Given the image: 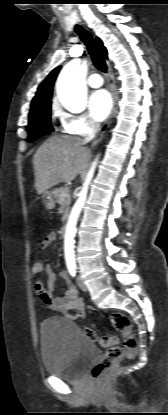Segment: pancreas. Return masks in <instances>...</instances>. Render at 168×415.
<instances>
[{
  "mask_svg": "<svg viewBox=\"0 0 168 415\" xmlns=\"http://www.w3.org/2000/svg\"><path fill=\"white\" fill-rule=\"evenodd\" d=\"M65 192L66 193L68 192V190L66 188H58V189H55L53 191V196H54L56 202L59 205L64 207V214H63L62 219H61L62 221H65L67 219L68 212H69V205H70V202H71V196L70 195H67L66 197L61 196V194L65 193Z\"/></svg>",
  "mask_w": 168,
  "mask_h": 415,
  "instance_id": "1",
  "label": "pancreas"
}]
</instances>
